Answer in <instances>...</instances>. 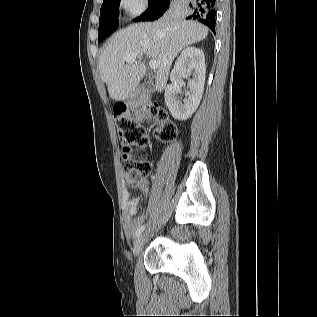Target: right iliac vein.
<instances>
[{
    "label": "right iliac vein",
    "instance_id": "right-iliac-vein-1",
    "mask_svg": "<svg viewBox=\"0 0 317 317\" xmlns=\"http://www.w3.org/2000/svg\"><path fill=\"white\" fill-rule=\"evenodd\" d=\"M146 239V234L140 235L134 243L133 247V255L138 256L143 249L144 243Z\"/></svg>",
    "mask_w": 317,
    "mask_h": 317
}]
</instances>
